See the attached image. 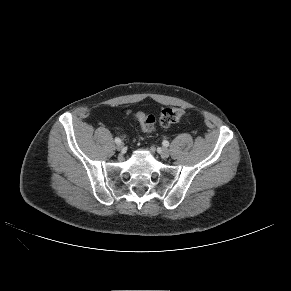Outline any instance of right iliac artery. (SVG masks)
Listing matches in <instances>:
<instances>
[{
    "mask_svg": "<svg viewBox=\"0 0 291 291\" xmlns=\"http://www.w3.org/2000/svg\"><path fill=\"white\" fill-rule=\"evenodd\" d=\"M115 142H116L117 144H119V143H121V139L118 138V137H116V138H115Z\"/></svg>",
    "mask_w": 291,
    "mask_h": 291,
    "instance_id": "obj_1",
    "label": "right iliac artery"
}]
</instances>
